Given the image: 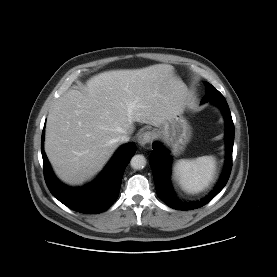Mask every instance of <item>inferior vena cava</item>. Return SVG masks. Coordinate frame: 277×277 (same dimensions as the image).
Segmentation results:
<instances>
[{
	"mask_svg": "<svg viewBox=\"0 0 277 277\" xmlns=\"http://www.w3.org/2000/svg\"><path fill=\"white\" fill-rule=\"evenodd\" d=\"M129 139H130L129 135H127V134H122V135H120L119 137H117L116 140H117L118 142H120V143H126V142L129 141Z\"/></svg>",
	"mask_w": 277,
	"mask_h": 277,
	"instance_id": "inferior-vena-cava-1",
	"label": "inferior vena cava"
}]
</instances>
